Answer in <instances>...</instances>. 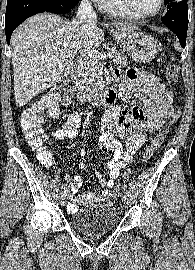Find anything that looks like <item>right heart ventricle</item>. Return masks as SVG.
Returning <instances> with one entry per match:
<instances>
[{"label": "right heart ventricle", "mask_w": 195, "mask_h": 270, "mask_svg": "<svg viewBox=\"0 0 195 270\" xmlns=\"http://www.w3.org/2000/svg\"><path fill=\"white\" fill-rule=\"evenodd\" d=\"M101 9L111 15L136 20L137 18L131 14L124 6L122 0H103L101 3Z\"/></svg>", "instance_id": "e07e8e85"}]
</instances>
